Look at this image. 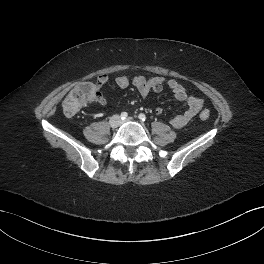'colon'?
<instances>
[{
  "mask_svg": "<svg viewBox=\"0 0 264 264\" xmlns=\"http://www.w3.org/2000/svg\"><path fill=\"white\" fill-rule=\"evenodd\" d=\"M96 92L97 87L94 83L83 82L78 84L63 101L62 108L64 113L67 116L77 114L83 106L95 98ZM209 116L208 110H203L200 113V118L203 120H207Z\"/></svg>",
  "mask_w": 264,
  "mask_h": 264,
  "instance_id": "colon-1",
  "label": "colon"
}]
</instances>
